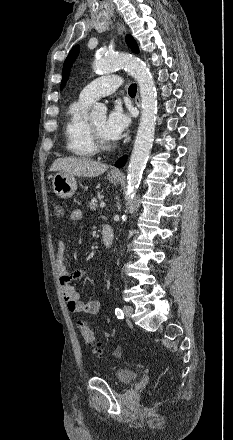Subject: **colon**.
Listing matches in <instances>:
<instances>
[{"mask_svg": "<svg viewBox=\"0 0 233 440\" xmlns=\"http://www.w3.org/2000/svg\"><path fill=\"white\" fill-rule=\"evenodd\" d=\"M53 212L54 215L57 217H60L63 215V208L59 203H54L53 204ZM78 328L81 332V335L84 339V341L92 346L94 348V352L98 355V356H103L104 355V351L101 349L100 345L98 344V342L96 341L95 335L93 333V331L91 330V328L89 327V325L87 324V322L80 320L78 322ZM114 356H119L120 355V350L116 349L113 352Z\"/></svg>", "mask_w": 233, "mask_h": 440, "instance_id": "obj_1", "label": "colon"}]
</instances>
